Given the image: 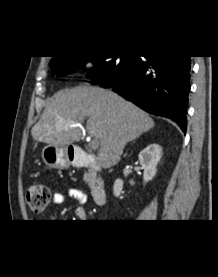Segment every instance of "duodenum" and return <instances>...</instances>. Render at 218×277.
I'll return each mask as SVG.
<instances>
[{
	"instance_id": "duodenum-1",
	"label": "duodenum",
	"mask_w": 218,
	"mask_h": 277,
	"mask_svg": "<svg viewBox=\"0 0 218 277\" xmlns=\"http://www.w3.org/2000/svg\"><path fill=\"white\" fill-rule=\"evenodd\" d=\"M70 162L78 168H84L90 170L92 173L97 169V159L85 152L84 150H71L68 153ZM89 188L93 194L94 200L98 205L105 203L106 188L102 179L95 176L89 178Z\"/></svg>"
}]
</instances>
